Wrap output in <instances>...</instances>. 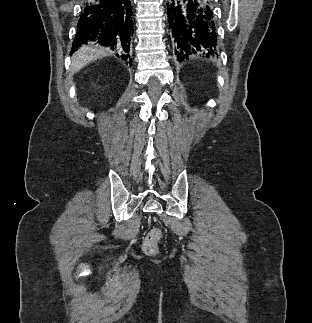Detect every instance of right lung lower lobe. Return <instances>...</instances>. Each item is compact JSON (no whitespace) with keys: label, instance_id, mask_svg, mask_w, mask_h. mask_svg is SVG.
<instances>
[{"label":"right lung lower lobe","instance_id":"98d812e1","mask_svg":"<svg viewBox=\"0 0 312 323\" xmlns=\"http://www.w3.org/2000/svg\"><path fill=\"white\" fill-rule=\"evenodd\" d=\"M130 0H85L71 52L95 43L110 47L123 60H130L133 12Z\"/></svg>","mask_w":312,"mask_h":323}]
</instances>
